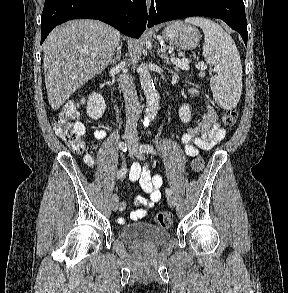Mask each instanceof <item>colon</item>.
<instances>
[{
	"mask_svg": "<svg viewBox=\"0 0 288 293\" xmlns=\"http://www.w3.org/2000/svg\"><path fill=\"white\" fill-rule=\"evenodd\" d=\"M238 117L235 109H230L222 114L221 121L223 125L232 127ZM55 133L65 141V143L75 153H82L85 149V127L79 121V112L76 104L65 105L55 116L53 121ZM205 161L201 156L192 160L191 168L194 173L203 170ZM155 223L163 228H169L172 225V216L168 212H159L155 215Z\"/></svg>",
	"mask_w": 288,
	"mask_h": 293,
	"instance_id": "obj_1",
	"label": "colon"
}]
</instances>
